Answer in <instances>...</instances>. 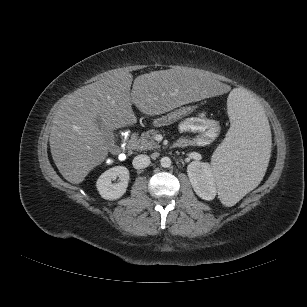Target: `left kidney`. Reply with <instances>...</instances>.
Here are the masks:
<instances>
[{"label":"left kidney","mask_w":307,"mask_h":307,"mask_svg":"<svg viewBox=\"0 0 307 307\" xmlns=\"http://www.w3.org/2000/svg\"><path fill=\"white\" fill-rule=\"evenodd\" d=\"M187 174L195 193L203 200H213L216 196V183L211 166L206 162L192 161Z\"/></svg>","instance_id":"obj_1"}]
</instances>
